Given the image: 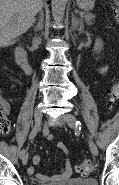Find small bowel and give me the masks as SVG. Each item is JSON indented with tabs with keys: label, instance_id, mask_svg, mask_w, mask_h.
Here are the masks:
<instances>
[{
	"label": "small bowel",
	"instance_id": "c3829d8e",
	"mask_svg": "<svg viewBox=\"0 0 119 185\" xmlns=\"http://www.w3.org/2000/svg\"><path fill=\"white\" fill-rule=\"evenodd\" d=\"M107 70V67L103 66V67H99L98 68V71L100 73H105ZM4 110L6 113L9 112V106L7 103L4 104ZM48 139L50 141L53 140V136L52 135H49L48 136ZM56 146L62 150L63 154H64V163H63V167L61 169V171L59 173H53V174H49V175H44V174H41V173H36L35 172V168L36 166L40 163V156L39 155H34L33 159H32V165H30L28 168H27V172L30 174V175H35V177L40 181V182H43V183H51V182H56V181H59V180H65V179H68L71 174H72V169H71V165H70V161H69V150L68 148L66 147V145L63 143V142H56Z\"/></svg>",
	"mask_w": 119,
	"mask_h": 185
}]
</instances>
